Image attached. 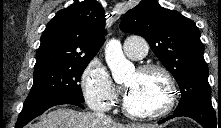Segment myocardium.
<instances>
[{
  "label": "myocardium",
  "mask_w": 221,
  "mask_h": 128,
  "mask_svg": "<svg viewBox=\"0 0 221 128\" xmlns=\"http://www.w3.org/2000/svg\"><path fill=\"white\" fill-rule=\"evenodd\" d=\"M148 72H156L160 74L161 77L164 79L166 85V98L162 105L156 107V109H149L136 112L130 109L124 97L122 100V109L125 115L129 118L136 120L155 119L168 114L175 104L177 98V90L176 83L171 72L163 65L155 63L143 64L137 69L138 74H145Z\"/></svg>",
  "instance_id": "f54148a6"
}]
</instances>
